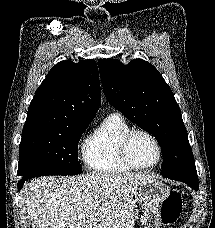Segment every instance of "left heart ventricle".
<instances>
[{
	"instance_id": "b2bd125f",
	"label": "left heart ventricle",
	"mask_w": 215,
	"mask_h": 228,
	"mask_svg": "<svg viewBox=\"0 0 215 228\" xmlns=\"http://www.w3.org/2000/svg\"><path fill=\"white\" fill-rule=\"evenodd\" d=\"M130 158L137 166H149L157 159V151L152 141L143 134L133 137L130 148Z\"/></svg>"
}]
</instances>
